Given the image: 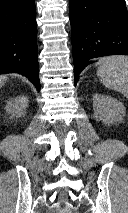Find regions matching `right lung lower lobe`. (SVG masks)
Instances as JSON below:
<instances>
[{
    "label": "right lung lower lobe",
    "mask_w": 128,
    "mask_h": 213,
    "mask_svg": "<svg viewBox=\"0 0 128 213\" xmlns=\"http://www.w3.org/2000/svg\"><path fill=\"white\" fill-rule=\"evenodd\" d=\"M17 72L40 91L34 0H0V72Z\"/></svg>",
    "instance_id": "98d812e1"
}]
</instances>
